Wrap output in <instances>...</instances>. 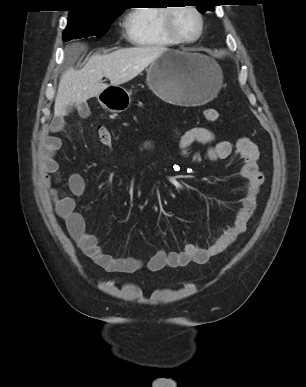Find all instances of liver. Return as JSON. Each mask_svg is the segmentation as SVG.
<instances>
[{
    "label": "liver",
    "mask_w": 306,
    "mask_h": 387,
    "mask_svg": "<svg viewBox=\"0 0 306 387\" xmlns=\"http://www.w3.org/2000/svg\"><path fill=\"white\" fill-rule=\"evenodd\" d=\"M165 51L167 48L157 46L119 49L107 55H92L80 70L69 68L60 78L54 115L65 116L68 106L85 103L109 86L132 80ZM103 77L110 85L102 82Z\"/></svg>",
    "instance_id": "obj_1"
}]
</instances>
